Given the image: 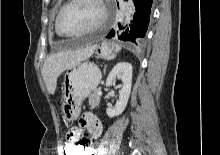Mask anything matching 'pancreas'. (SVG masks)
<instances>
[{"instance_id": "1", "label": "pancreas", "mask_w": 220, "mask_h": 155, "mask_svg": "<svg viewBox=\"0 0 220 155\" xmlns=\"http://www.w3.org/2000/svg\"><path fill=\"white\" fill-rule=\"evenodd\" d=\"M100 102V97L97 94V91H94L90 96H89V105L91 109L96 108L99 105Z\"/></svg>"}]
</instances>
